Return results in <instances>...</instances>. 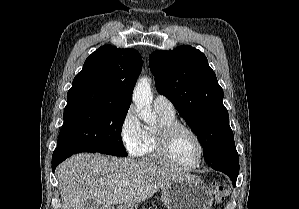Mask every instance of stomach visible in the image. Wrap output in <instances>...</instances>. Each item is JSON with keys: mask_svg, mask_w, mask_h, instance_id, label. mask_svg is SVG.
<instances>
[{"mask_svg": "<svg viewBox=\"0 0 299 209\" xmlns=\"http://www.w3.org/2000/svg\"><path fill=\"white\" fill-rule=\"evenodd\" d=\"M161 200L167 209H210L213 201L208 186L194 175L164 187ZM119 209L132 208L121 207Z\"/></svg>", "mask_w": 299, "mask_h": 209, "instance_id": "0dacf381", "label": "stomach"}]
</instances>
